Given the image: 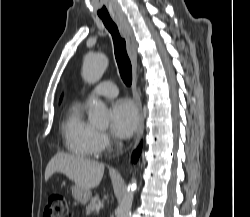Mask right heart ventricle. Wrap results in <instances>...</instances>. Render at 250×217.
<instances>
[{
    "label": "right heart ventricle",
    "mask_w": 250,
    "mask_h": 217,
    "mask_svg": "<svg viewBox=\"0 0 250 217\" xmlns=\"http://www.w3.org/2000/svg\"><path fill=\"white\" fill-rule=\"evenodd\" d=\"M83 111L82 103L71 104L63 119L61 133L64 145L70 153L80 157H94L98 154V131L85 120Z\"/></svg>",
    "instance_id": "obj_1"
}]
</instances>
